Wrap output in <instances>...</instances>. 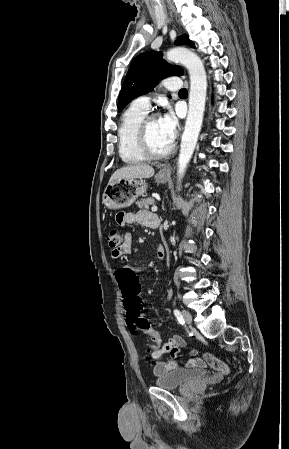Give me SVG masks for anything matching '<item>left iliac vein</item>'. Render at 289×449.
I'll return each mask as SVG.
<instances>
[{
	"instance_id": "4c4485c4",
	"label": "left iliac vein",
	"mask_w": 289,
	"mask_h": 449,
	"mask_svg": "<svg viewBox=\"0 0 289 449\" xmlns=\"http://www.w3.org/2000/svg\"><path fill=\"white\" fill-rule=\"evenodd\" d=\"M182 316H183L184 320H185L188 324H191V322H192V315H191L190 312H188V311H186V310H183V311H182Z\"/></svg>"
}]
</instances>
